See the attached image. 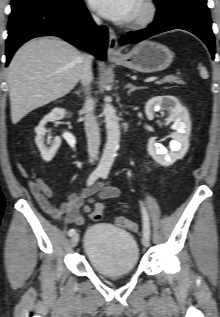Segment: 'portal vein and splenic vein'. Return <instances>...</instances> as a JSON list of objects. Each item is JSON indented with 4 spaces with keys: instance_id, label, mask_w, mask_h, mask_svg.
I'll list each match as a JSON object with an SVG mask.
<instances>
[{
    "instance_id": "1",
    "label": "portal vein and splenic vein",
    "mask_w": 220,
    "mask_h": 317,
    "mask_svg": "<svg viewBox=\"0 0 220 317\" xmlns=\"http://www.w3.org/2000/svg\"><path fill=\"white\" fill-rule=\"evenodd\" d=\"M158 79V77H149L147 79H145V82H152V81H156Z\"/></svg>"
}]
</instances>
